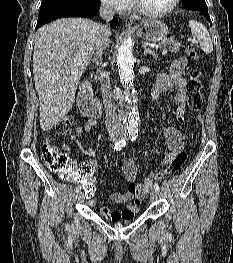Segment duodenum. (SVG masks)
Returning a JSON list of instances; mask_svg holds the SVG:
<instances>
[{
    "label": "duodenum",
    "mask_w": 233,
    "mask_h": 263,
    "mask_svg": "<svg viewBox=\"0 0 233 263\" xmlns=\"http://www.w3.org/2000/svg\"><path fill=\"white\" fill-rule=\"evenodd\" d=\"M77 101L79 109L83 115L98 117L101 114V105L99 101L94 98L88 79L82 84L78 93Z\"/></svg>",
    "instance_id": "410a0bca"
}]
</instances>
